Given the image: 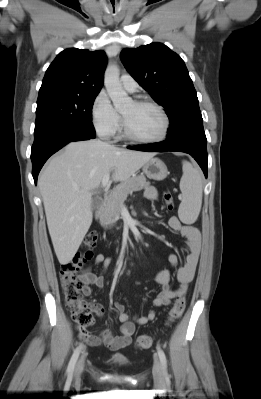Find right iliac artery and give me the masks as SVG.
I'll return each mask as SVG.
<instances>
[{
    "label": "right iliac artery",
    "instance_id": "right-iliac-artery-1",
    "mask_svg": "<svg viewBox=\"0 0 261 399\" xmlns=\"http://www.w3.org/2000/svg\"><path fill=\"white\" fill-rule=\"evenodd\" d=\"M80 351H81V346L76 348V350L74 351V353H73V355H72V357L70 359V362H69L68 367H67V372L70 373V374L73 373V371H74V367H75L76 361H77V359L79 357Z\"/></svg>",
    "mask_w": 261,
    "mask_h": 399
}]
</instances>
